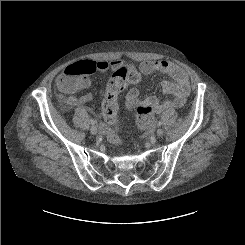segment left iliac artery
I'll list each match as a JSON object with an SVG mask.
<instances>
[{"instance_id": "obj_1", "label": "left iliac artery", "mask_w": 245, "mask_h": 245, "mask_svg": "<svg viewBox=\"0 0 245 245\" xmlns=\"http://www.w3.org/2000/svg\"><path fill=\"white\" fill-rule=\"evenodd\" d=\"M161 125H162V121L159 120V121H158V126H161Z\"/></svg>"}]
</instances>
